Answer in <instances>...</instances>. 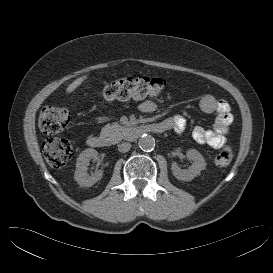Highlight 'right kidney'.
<instances>
[{"mask_svg": "<svg viewBox=\"0 0 273 273\" xmlns=\"http://www.w3.org/2000/svg\"><path fill=\"white\" fill-rule=\"evenodd\" d=\"M99 160L98 152L95 149H85L77 158L76 170L74 173V179L80 186L91 187L103 176V170H98L94 175L90 176L87 173L90 160Z\"/></svg>", "mask_w": 273, "mask_h": 273, "instance_id": "right-kidney-1", "label": "right kidney"}]
</instances>
